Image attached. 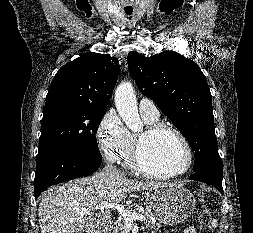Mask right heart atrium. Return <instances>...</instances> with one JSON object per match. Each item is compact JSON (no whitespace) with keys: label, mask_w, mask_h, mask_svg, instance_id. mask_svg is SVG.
<instances>
[{"label":"right heart atrium","mask_w":253,"mask_h":233,"mask_svg":"<svg viewBox=\"0 0 253 233\" xmlns=\"http://www.w3.org/2000/svg\"><path fill=\"white\" fill-rule=\"evenodd\" d=\"M96 138L103 157L111 162H118L128 146L129 131L116 111L110 110L101 119Z\"/></svg>","instance_id":"1"}]
</instances>
